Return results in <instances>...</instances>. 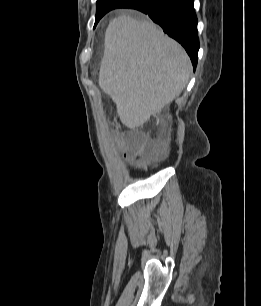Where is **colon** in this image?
I'll use <instances>...</instances> for the list:
<instances>
[{
  "label": "colon",
  "instance_id": "1",
  "mask_svg": "<svg viewBox=\"0 0 261 306\" xmlns=\"http://www.w3.org/2000/svg\"><path fill=\"white\" fill-rule=\"evenodd\" d=\"M160 124H161V127L162 128H165L166 126V119L162 118L161 121H160ZM167 136L166 133H164L163 137H162V140L160 141L159 145H158V148H157V151H156V156L157 158H162L165 154V149H164V145H163V139H165ZM144 143V139L143 138H137L135 136H132V137H129L126 141V146H127V149L129 151V153L134 156L136 154L139 153L142 145Z\"/></svg>",
  "mask_w": 261,
  "mask_h": 306
}]
</instances>
